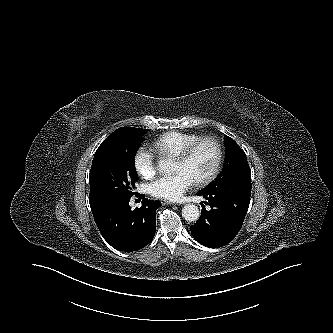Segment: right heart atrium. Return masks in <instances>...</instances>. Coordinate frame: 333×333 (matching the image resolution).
I'll list each match as a JSON object with an SVG mask.
<instances>
[{
	"instance_id": "obj_1",
	"label": "right heart atrium",
	"mask_w": 333,
	"mask_h": 333,
	"mask_svg": "<svg viewBox=\"0 0 333 333\" xmlns=\"http://www.w3.org/2000/svg\"><path fill=\"white\" fill-rule=\"evenodd\" d=\"M136 172L143 178H150L156 170V159L151 150L139 147L133 156Z\"/></svg>"
}]
</instances>
